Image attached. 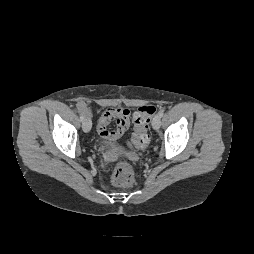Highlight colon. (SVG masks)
Returning a JSON list of instances; mask_svg holds the SVG:
<instances>
[{
	"mask_svg": "<svg viewBox=\"0 0 254 254\" xmlns=\"http://www.w3.org/2000/svg\"><path fill=\"white\" fill-rule=\"evenodd\" d=\"M156 112L154 106L139 107L133 115L134 133L131 143L137 148L145 147L150 140L149 128L151 118ZM135 172L128 165H118L112 172V181L119 186H129L133 183Z\"/></svg>",
	"mask_w": 254,
	"mask_h": 254,
	"instance_id": "1",
	"label": "colon"
}]
</instances>
